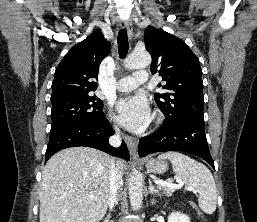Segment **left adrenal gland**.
Segmentation results:
<instances>
[{
    "mask_svg": "<svg viewBox=\"0 0 257 222\" xmlns=\"http://www.w3.org/2000/svg\"><path fill=\"white\" fill-rule=\"evenodd\" d=\"M148 193L152 194V195H156V196H160V192L158 189H156V187L152 184L151 180L149 179V188H148ZM155 201L154 199H152V204H154Z\"/></svg>",
    "mask_w": 257,
    "mask_h": 222,
    "instance_id": "left-adrenal-gland-1",
    "label": "left adrenal gland"
}]
</instances>
